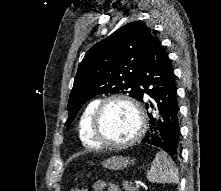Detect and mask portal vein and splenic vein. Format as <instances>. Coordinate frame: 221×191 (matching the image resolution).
Returning a JSON list of instances; mask_svg holds the SVG:
<instances>
[{
	"mask_svg": "<svg viewBox=\"0 0 221 191\" xmlns=\"http://www.w3.org/2000/svg\"><path fill=\"white\" fill-rule=\"evenodd\" d=\"M135 186H136V188H139L140 187V183L139 182H135Z\"/></svg>",
	"mask_w": 221,
	"mask_h": 191,
	"instance_id": "18ae733b",
	"label": "portal vein and splenic vein"
}]
</instances>
